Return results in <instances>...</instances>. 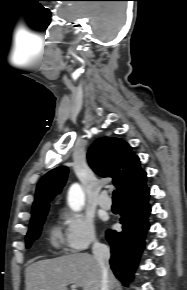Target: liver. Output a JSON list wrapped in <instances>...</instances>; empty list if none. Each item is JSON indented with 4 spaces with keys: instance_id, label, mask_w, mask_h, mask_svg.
<instances>
[{
    "instance_id": "liver-1",
    "label": "liver",
    "mask_w": 187,
    "mask_h": 290,
    "mask_svg": "<svg viewBox=\"0 0 187 290\" xmlns=\"http://www.w3.org/2000/svg\"><path fill=\"white\" fill-rule=\"evenodd\" d=\"M26 290H68L75 284L83 290H101V269L88 253H75L54 259H44L26 268ZM109 290L117 281L109 271Z\"/></svg>"
}]
</instances>
